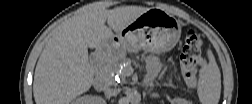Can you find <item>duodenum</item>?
Wrapping results in <instances>:
<instances>
[{
  "label": "duodenum",
  "mask_w": 252,
  "mask_h": 104,
  "mask_svg": "<svg viewBox=\"0 0 252 104\" xmlns=\"http://www.w3.org/2000/svg\"><path fill=\"white\" fill-rule=\"evenodd\" d=\"M106 86V79L103 75H98L94 80V87L97 90H103Z\"/></svg>",
  "instance_id": "obj_1"
}]
</instances>
